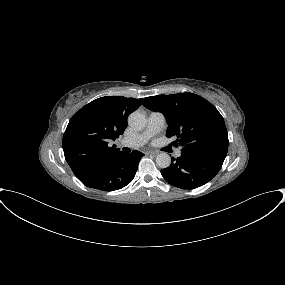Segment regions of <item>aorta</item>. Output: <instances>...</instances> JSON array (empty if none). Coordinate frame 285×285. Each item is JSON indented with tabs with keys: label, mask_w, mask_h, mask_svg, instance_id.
I'll return each mask as SVG.
<instances>
[{
	"label": "aorta",
	"mask_w": 285,
	"mask_h": 285,
	"mask_svg": "<svg viewBox=\"0 0 285 285\" xmlns=\"http://www.w3.org/2000/svg\"><path fill=\"white\" fill-rule=\"evenodd\" d=\"M128 124L135 130L144 129L147 124L146 116L139 111H134L128 117ZM155 161L158 167L164 169L170 166L171 157L167 153L163 152L156 156Z\"/></svg>",
	"instance_id": "aorta-1"
}]
</instances>
